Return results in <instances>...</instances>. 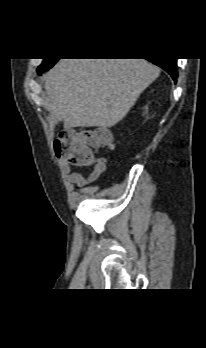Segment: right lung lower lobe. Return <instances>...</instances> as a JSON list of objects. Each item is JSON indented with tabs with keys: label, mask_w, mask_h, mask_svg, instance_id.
<instances>
[{
	"label": "right lung lower lobe",
	"mask_w": 206,
	"mask_h": 348,
	"mask_svg": "<svg viewBox=\"0 0 206 348\" xmlns=\"http://www.w3.org/2000/svg\"><path fill=\"white\" fill-rule=\"evenodd\" d=\"M150 62L160 66L163 68L166 72L170 74V76L173 78L174 82L176 83V78H177V64H176V59L173 58H156V59H149ZM51 68V67H50ZM50 68H46L42 71L48 70ZM39 74H41V72Z\"/></svg>",
	"instance_id": "obj_1"
}]
</instances>
